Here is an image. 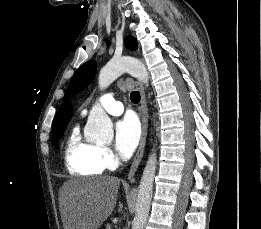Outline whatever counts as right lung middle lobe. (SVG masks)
I'll list each match as a JSON object with an SVG mask.
<instances>
[{
	"mask_svg": "<svg viewBox=\"0 0 261 229\" xmlns=\"http://www.w3.org/2000/svg\"><path fill=\"white\" fill-rule=\"evenodd\" d=\"M67 124L53 125L52 145L56 144L61 138Z\"/></svg>",
	"mask_w": 261,
	"mask_h": 229,
	"instance_id": "right-lung-middle-lobe-1",
	"label": "right lung middle lobe"
}]
</instances>
